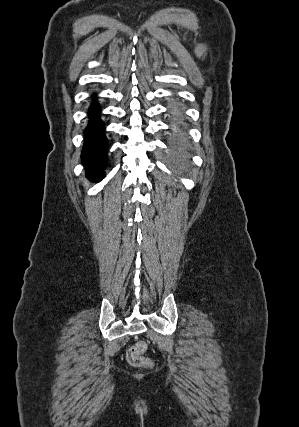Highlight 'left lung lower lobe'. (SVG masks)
Wrapping results in <instances>:
<instances>
[{"mask_svg":"<svg viewBox=\"0 0 299 427\" xmlns=\"http://www.w3.org/2000/svg\"><path fill=\"white\" fill-rule=\"evenodd\" d=\"M174 141H175L176 150H178L180 147H182L185 144V138L181 131L179 130L174 131Z\"/></svg>","mask_w":299,"mask_h":427,"instance_id":"1","label":"left lung lower lobe"}]
</instances>
